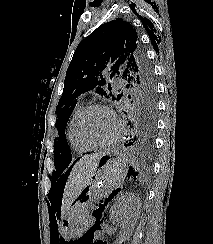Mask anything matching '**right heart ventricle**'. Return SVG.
I'll return each instance as SVG.
<instances>
[{"instance_id":"e07e8e85","label":"right heart ventricle","mask_w":213,"mask_h":244,"mask_svg":"<svg viewBox=\"0 0 213 244\" xmlns=\"http://www.w3.org/2000/svg\"><path fill=\"white\" fill-rule=\"evenodd\" d=\"M84 108L85 106L80 104L73 110L66 128L67 140L71 149L76 153H85L91 149L81 142L76 133V123Z\"/></svg>"}]
</instances>
